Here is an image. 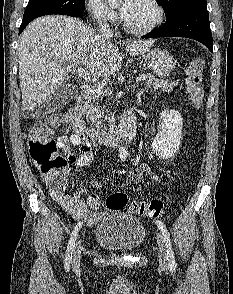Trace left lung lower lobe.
<instances>
[{
    "mask_svg": "<svg viewBox=\"0 0 233 294\" xmlns=\"http://www.w3.org/2000/svg\"><path fill=\"white\" fill-rule=\"evenodd\" d=\"M186 37L203 43L212 52L213 39L206 8L188 6L166 17L165 24L142 38Z\"/></svg>",
    "mask_w": 233,
    "mask_h": 294,
    "instance_id": "0a47b994",
    "label": "left lung lower lobe"
}]
</instances>
